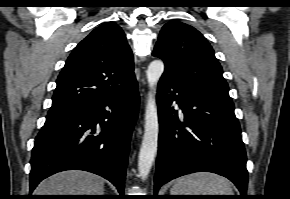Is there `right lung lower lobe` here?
I'll list each match as a JSON object with an SVG mask.
<instances>
[{"label": "right lung lower lobe", "instance_id": "1", "mask_svg": "<svg viewBox=\"0 0 290 199\" xmlns=\"http://www.w3.org/2000/svg\"><path fill=\"white\" fill-rule=\"evenodd\" d=\"M138 107L135 80L120 93L49 113L32 151L30 193L46 177L77 169L106 178L123 196L130 138Z\"/></svg>", "mask_w": 290, "mask_h": 199}]
</instances>
